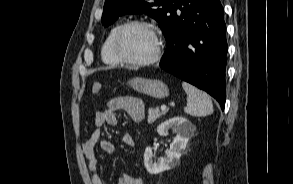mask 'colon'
I'll list each match as a JSON object with an SVG mask.
<instances>
[{"label":"colon","mask_w":293,"mask_h":184,"mask_svg":"<svg viewBox=\"0 0 293 184\" xmlns=\"http://www.w3.org/2000/svg\"><path fill=\"white\" fill-rule=\"evenodd\" d=\"M102 90V84L99 83V82H95L93 85H92V94L94 96L98 95Z\"/></svg>","instance_id":"5ec220e1"}]
</instances>
